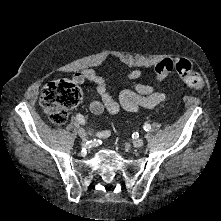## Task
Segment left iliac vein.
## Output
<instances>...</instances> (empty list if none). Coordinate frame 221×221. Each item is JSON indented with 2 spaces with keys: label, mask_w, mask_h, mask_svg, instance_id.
I'll use <instances>...</instances> for the list:
<instances>
[{
  "label": "left iliac vein",
  "mask_w": 221,
  "mask_h": 221,
  "mask_svg": "<svg viewBox=\"0 0 221 221\" xmlns=\"http://www.w3.org/2000/svg\"><path fill=\"white\" fill-rule=\"evenodd\" d=\"M143 143H144L143 139H134L133 142H132V144H133V146H134L135 148H140V147H142V146H143Z\"/></svg>",
  "instance_id": "left-iliac-vein-1"
}]
</instances>
